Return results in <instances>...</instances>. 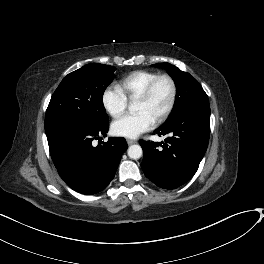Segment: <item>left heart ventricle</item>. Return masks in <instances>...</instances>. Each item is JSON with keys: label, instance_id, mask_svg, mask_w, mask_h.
Masks as SVG:
<instances>
[{"label": "left heart ventricle", "instance_id": "left-heart-ventricle-1", "mask_svg": "<svg viewBox=\"0 0 264 264\" xmlns=\"http://www.w3.org/2000/svg\"><path fill=\"white\" fill-rule=\"evenodd\" d=\"M171 95V86L165 79L159 81L151 97L146 101H136L135 111L145 112L156 120L167 107Z\"/></svg>", "mask_w": 264, "mask_h": 264}]
</instances>
